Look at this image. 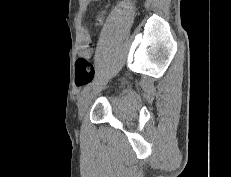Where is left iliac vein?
<instances>
[{
    "label": "left iliac vein",
    "instance_id": "1",
    "mask_svg": "<svg viewBox=\"0 0 231 177\" xmlns=\"http://www.w3.org/2000/svg\"><path fill=\"white\" fill-rule=\"evenodd\" d=\"M92 97H93V91L92 90H89L88 92H86L80 102H79V105H78V114H79V119L82 120V118L84 117L85 115V112L87 111L89 105H90V102L92 100Z\"/></svg>",
    "mask_w": 231,
    "mask_h": 177
}]
</instances>
